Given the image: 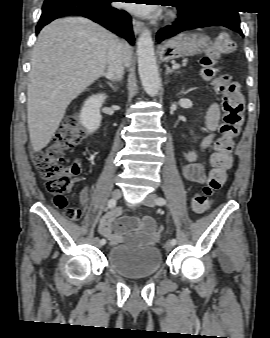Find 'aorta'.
Segmentation results:
<instances>
[{"mask_svg":"<svg viewBox=\"0 0 270 338\" xmlns=\"http://www.w3.org/2000/svg\"><path fill=\"white\" fill-rule=\"evenodd\" d=\"M138 71L142 86L150 96H156L160 88V78L154 43L149 30H144L137 41Z\"/></svg>","mask_w":270,"mask_h":338,"instance_id":"762f6f07","label":"aorta"}]
</instances>
